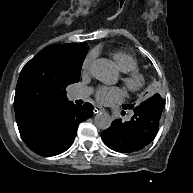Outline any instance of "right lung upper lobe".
<instances>
[{"mask_svg":"<svg viewBox=\"0 0 193 193\" xmlns=\"http://www.w3.org/2000/svg\"><path fill=\"white\" fill-rule=\"evenodd\" d=\"M86 44H62L40 51L22 69L14 98L19 129L48 123L71 105L63 91L79 81Z\"/></svg>","mask_w":193,"mask_h":193,"instance_id":"obj_1","label":"right lung upper lobe"}]
</instances>
